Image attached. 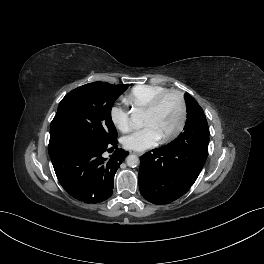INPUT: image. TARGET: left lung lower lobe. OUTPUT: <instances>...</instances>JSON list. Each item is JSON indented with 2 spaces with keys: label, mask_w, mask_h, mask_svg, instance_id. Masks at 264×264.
<instances>
[{
  "label": "left lung lower lobe",
  "mask_w": 264,
  "mask_h": 264,
  "mask_svg": "<svg viewBox=\"0 0 264 264\" xmlns=\"http://www.w3.org/2000/svg\"><path fill=\"white\" fill-rule=\"evenodd\" d=\"M153 149L140 158L139 189L154 204L170 203L193 185L208 155L209 128Z\"/></svg>",
  "instance_id": "left-lung-lower-lobe-1"
}]
</instances>
